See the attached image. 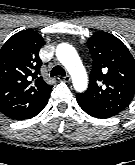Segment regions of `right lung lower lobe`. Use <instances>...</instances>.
Listing matches in <instances>:
<instances>
[{"label":"right lung lower lobe","instance_id":"1","mask_svg":"<svg viewBox=\"0 0 135 165\" xmlns=\"http://www.w3.org/2000/svg\"><path fill=\"white\" fill-rule=\"evenodd\" d=\"M48 102V101H47ZM47 102L39 105L38 107L31 109V110H26V111H18V112H13L10 114H5L7 117L15 120H24V119H29L32 118L33 116H36L42 109L46 106Z\"/></svg>","mask_w":135,"mask_h":165}]
</instances>
